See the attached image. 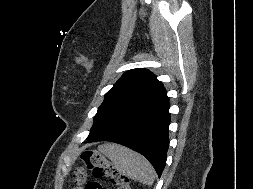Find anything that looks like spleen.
Masks as SVG:
<instances>
[{"label":"spleen","instance_id":"obj_1","mask_svg":"<svg viewBox=\"0 0 253 189\" xmlns=\"http://www.w3.org/2000/svg\"><path fill=\"white\" fill-rule=\"evenodd\" d=\"M98 149L113 162L120 174L144 184H153L155 171L139 153L118 144H103Z\"/></svg>","mask_w":253,"mask_h":189}]
</instances>
